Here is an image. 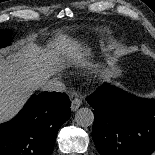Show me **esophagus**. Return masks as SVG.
<instances>
[{"mask_svg": "<svg viewBox=\"0 0 155 155\" xmlns=\"http://www.w3.org/2000/svg\"><path fill=\"white\" fill-rule=\"evenodd\" d=\"M82 104V100L81 98L79 97H76L72 100V103H71V111H76Z\"/></svg>", "mask_w": 155, "mask_h": 155, "instance_id": "esophagus-1", "label": "esophagus"}]
</instances>
